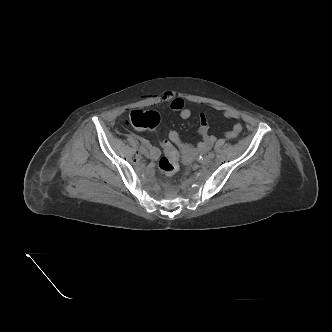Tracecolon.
Returning a JSON list of instances; mask_svg holds the SVG:
<instances>
[{
    "label": "colon",
    "mask_w": 332,
    "mask_h": 332,
    "mask_svg": "<svg viewBox=\"0 0 332 332\" xmlns=\"http://www.w3.org/2000/svg\"><path fill=\"white\" fill-rule=\"evenodd\" d=\"M160 122V116L155 111H132L129 116V123L137 129L154 130ZM162 148L164 155L158 161V169L165 175H173L179 170V156L177 149L170 141H163Z\"/></svg>",
    "instance_id": "1"
}]
</instances>
